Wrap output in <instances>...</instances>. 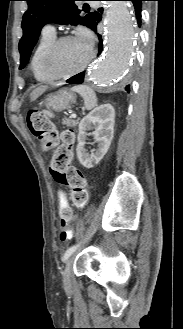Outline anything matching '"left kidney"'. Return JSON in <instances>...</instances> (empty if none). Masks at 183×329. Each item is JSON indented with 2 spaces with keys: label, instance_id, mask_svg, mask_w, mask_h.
<instances>
[{
  "label": "left kidney",
  "instance_id": "left-kidney-1",
  "mask_svg": "<svg viewBox=\"0 0 183 329\" xmlns=\"http://www.w3.org/2000/svg\"><path fill=\"white\" fill-rule=\"evenodd\" d=\"M115 110L112 105L104 104L93 109L86 115L79 124L77 157L79 162L86 168H92L98 164L107 153L111 140L114 135ZM94 129L91 133L95 141L98 143V149L91 152H86L85 143L87 140V131Z\"/></svg>",
  "mask_w": 183,
  "mask_h": 329
}]
</instances>
